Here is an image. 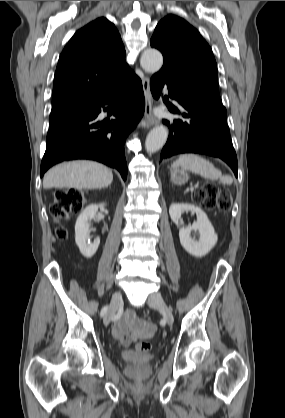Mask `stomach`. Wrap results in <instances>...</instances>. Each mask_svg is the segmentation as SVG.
<instances>
[{"instance_id":"obj_1","label":"stomach","mask_w":285,"mask_h":418,"mask_svg":"<svg viewBox=\"0 0 285 418\" xmlns=\"http://www.w3.org/2000/svg\"><path fill=\"white\" fill-rule=\"evenodd\" d=\"M170 175L171 181L177 185L185 184L189 179L187 171L178 167H172L170 169Z\"/></svg>"}]
</instances>
